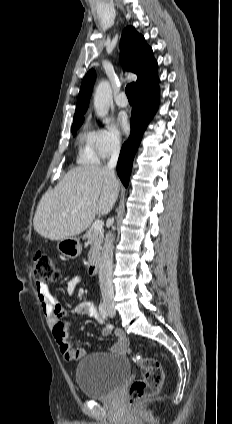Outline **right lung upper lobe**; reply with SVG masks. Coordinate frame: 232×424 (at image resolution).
<instances>
[{"label":"right lung upper lobe","mask_w":232,"mask_h":424,"mask_svg":"<svg viewBox=\"0 0 232 424\" xmlns=\"http://www.w3.org/2000/svg\"><path fill=\"white\" fill-rule=\"evenodd\" d=\"M121 62L124 69L137 74L136 91L147 87L157 78V61L152 49L146 44L144 37L133 27L124 29L121 42ZM95 71L90 70L84 77L78 95L74 119H82L85 114L92 93Z\"/></svg>","instance_id":"right-lung-upper-lobe-1"}]
</instances>
